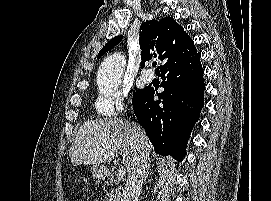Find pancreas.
I'll use <instances>...</instances> for the list:
<instances>
[{"instance_id":"cf45deb5","label":"pancreas","mask_w":271,"mask_h":201,"mask_svg":"<svg viewBox=\"0 0 271 201\" xmlns=\"http://www.w3.org/2000/svg\"><path fill=\"white\" fill-rule=\"evenodd\" d=\"M107 197V201H120L121 188L117 187L116 190H112L109 194H107Z\"/></svg>"}]
</instances>
